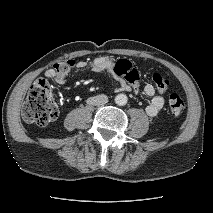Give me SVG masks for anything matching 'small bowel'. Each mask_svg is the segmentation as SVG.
Returning a JSON list of instances; mask_svg holds the SVG:
<instances>
[{
	"label": "small bowel",
	"mask_w": 213,
	"mask_h": 213,
	"mask_svg": "<svg viewBox=\"0 0 213 213\" xmlns=\"http://www.w3.org/2000/svg\"><path fill=\"white\" fill-rule=\"evenodd\" d=\"M74 61V60H73ZM116 61L110 56H98L89 61L79 60L74 61L73 67L78 69L89 68L92 72H109L117 84L118 92H135L141 90L139 72L132 68V72L128 76H119L114 72ZM45 76L58 83H64L66 76H60L54 68L46 70ZM143 93L150 97V103L146 106V114L150 117H155L159 114L164 106V97L156 92V89L151 84H146L142 88Z\"/></svg>",
	"instance_id": "1"
}]
</instances>
